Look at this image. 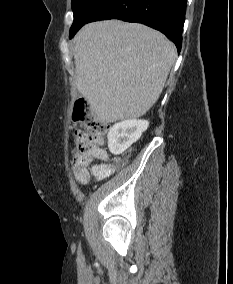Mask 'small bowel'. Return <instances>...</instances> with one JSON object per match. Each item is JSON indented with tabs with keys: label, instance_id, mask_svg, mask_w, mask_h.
<instances>
[{
	"label": "small bowel",
	"instance_id": "1",
	"mask_svg": "<svg viewBox=\"0 0 233 284\" xmlns=\"http://www.w3.org/2000/svg\"><path fill=\"white\" fill-rule=\"evenodd\" d=\"M125 163V159L116 158L112 161V163L95 164L85 168L82 174L80 172H77L75 174V178L81 184H86L91 176L97 180H103L111 176L116 171V169L124 166Z\"/></svg>",
	"mask_w": 233,
	"mask_h": 284
}]
</instances>
